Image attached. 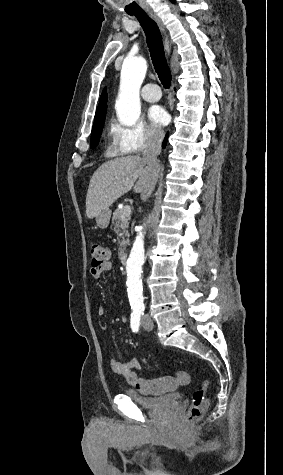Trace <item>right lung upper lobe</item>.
<instances>
[{"label":"right lung upper lobe","instance_id":"obj_1","mask_svg":"<svg viewBox=\"0 0 283 475\" xmlns=\"http://www.w3.org/2000/svg\"><path fill=\"white\" fill-rule=\"evenodd\" d=\"M102 105H107V92H106V88L103 90V92H102V94H101L98 107H99V106H102Z\"/></svg>","mask_w":283,"mask_h":475}]
</instances>
